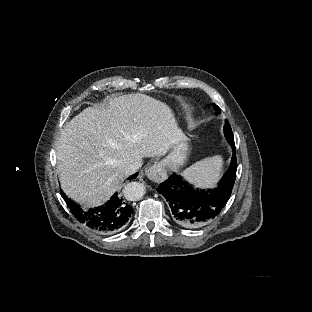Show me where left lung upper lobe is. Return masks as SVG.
Segmentation results:
<instances>
[{"label":"left lung upper lobe","mask_w":312,"mask_h":312,"mask_svg":"<svg viewBox=\"0 0 312 312\" xmlns=\"http://www.w3.org/2000/svg\"><path fill=\"white\" fill-rule=\"evenodd\" d=\"M214 109L217 113L220 112L219 107L215 104H214ZM224 132H225V136H226L227 140L229 141V143H234V136H233L232 129H231V126H230L228 121L225 122Z\"/></svg>","instance_id":"5c2ea615"}]
</instances>
